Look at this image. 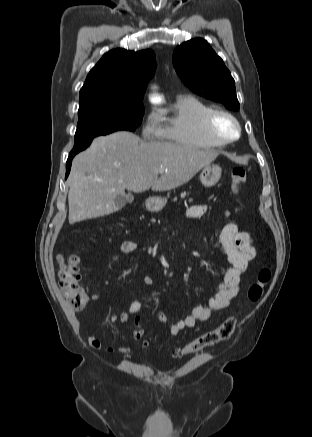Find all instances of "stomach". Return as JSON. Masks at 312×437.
<instances>
[{"label":"stomach","mask_w":312,"mask_h":437,"mask_svg":"<svg viewBox=\"0 0 312 437\" xmlns=\"http://www.w3.org/2000/svg\"><path fill=\"white\" fill-rule=\"evenodd\" d=\"M222 169L216 164L206 165L200 173V180L205 187H213L221 177ZM167 203L162 197H151L146 201V207L153 212L161 211Z\"/></svg>","instance_id":"1"}]
</instances>
